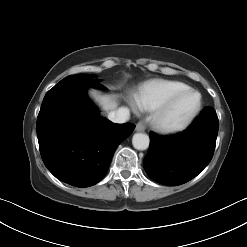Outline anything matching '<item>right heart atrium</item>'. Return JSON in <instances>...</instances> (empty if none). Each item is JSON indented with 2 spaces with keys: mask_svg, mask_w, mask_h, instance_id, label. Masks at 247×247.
Listing matches in <instances>:
<instances>
[{
  "mask_svg": "<svg viewBox=\"0 0 247 247\" xmlns=\"http://www.w3.org/2000/svg\"><path fill=\"white\" fill-rule=\"evenodd\" d=\"M132 106H133V107H137L136 104L134 103V101L132 102Z\"/></svg>",
  "mask_w": 247,
  "mask_h": 247,
  "instance_id": "obj_1",
  "label": "right heart atrium"
}]
</instances>
